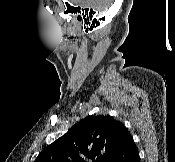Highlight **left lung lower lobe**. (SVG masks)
<instances>
[{"instance_id": "1", "label": "left lung lower lobe", "mask_w": 175, "mask_h": 162, "mask_svg": "<svg viewBox=\"0 0 175 162\" xmlns=\"http://www.w3.org/2000/svg\"><path fill=\"white\" fill-rule=\"evenodd\" d=\"M109 162H140L138 149L129 131L125 133Z\"/></svg>"}]
</instances>
